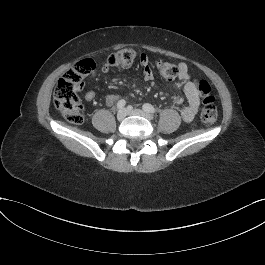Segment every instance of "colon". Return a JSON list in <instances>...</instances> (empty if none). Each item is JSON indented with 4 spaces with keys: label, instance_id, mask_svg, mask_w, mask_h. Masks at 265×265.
Returning a JSON list of instances; mask_svg holds the SVG:
<instances>
[{
    "label": "colon",
    "instance_id": "5ec220e1",
    "mask_svg": "<svg viewBox=\"0 0 265 265\" xmlns=\"http://www.w3.org/2000/svg\"><path fill=\"white\" fill-rule=\"evenodd\" d=\"M136 59V52L131 48H123L112 53L106 63V71L112 69L129 68ZM93 59H83L69 68L59 79L54 92V104L66 120L72 124L83 123V105L78 92L82 88L85 78L95 69ZM156 68L160 76L166 80H174L179 74L177 65L159 61ZM199 94L202 97L201 119L207 124H213L217 119V105L211 95V88L205 80L197 82Z\"/></svg>",
    "mask_w": 265,
    "mask_h": 265
}]
</instances>
